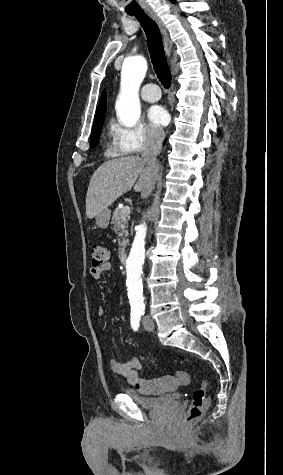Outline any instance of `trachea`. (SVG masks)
<instances>
[{"label": "trachea", "instance_id": "1", "mask_svg": "<svg viewBox=\"0 0 283 475\" xmlns=\"http://www.w3.org/2000/svg\"><path fill=\"white\" fill-rule=\"evenodd\" d=\"M128 15L136 17L141 24L147 37L148 50L155 73L162 85L165 88H170L172 75L167 63L162 36L157 23L144 11L128 13Z\"/></svg>", "mask_w": 283, "mask_h": 475}]
</instances>
